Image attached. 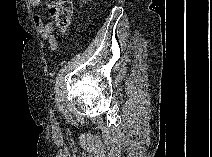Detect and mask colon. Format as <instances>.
Segmentation results:
<instances>
[{
	"instance_id": "5ec220e1",
	"label": "colon",
	"mask_w": 212,
	"mask_h": 157,
	"mask_svg": "<svg viewBox=\"0 0 212 157\" xmlns=\"http://www.w3.org/2000/svg\"><path fill=\"white\" fill-rule=\"evenodd\" d=\"M50 16L61 32H66L71 23L72 4L66 0L50 1Z\"/></svg>"
}]
</instances>
